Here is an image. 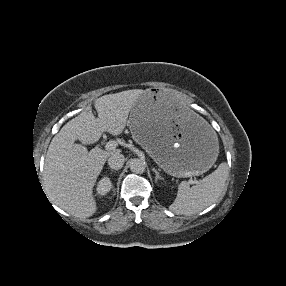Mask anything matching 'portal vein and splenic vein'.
I'll use <instances>...</instances> for the list:
<instances>
[{
    "mask_svg": "<svg viewBox=\"0 0 286 286\" xmlns=\"http://www.w3.org/2000/svg\"><path fill=\"white\" fill-rule=\"evenodd\" d=\"M116 146H117V143L115 141H109V142L106 143L105 149L108 150V151L115 150ZM189 183L190 184H195V183H198V182H195L192 179H190Z\"/></svg>",
    "mask_w": 286,
    "mask_h": 286,
    "instance_id": "1",
    "label": "portal vein and splenic vein"
}]
</instances>
